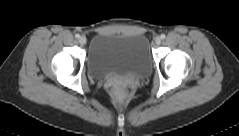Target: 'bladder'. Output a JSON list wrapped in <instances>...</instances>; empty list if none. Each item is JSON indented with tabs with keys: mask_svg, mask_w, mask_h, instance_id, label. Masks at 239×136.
<instances>
[{
	"mask_svg": "<svg viewBox=\"0 0 239 136\" xmlns=\"http://www.w3.org/2000/svg\"><path fill=\"white\" fill-rule=\"evenodd\" d=\"M88 66L96 78L145 75L152 66L149 41L141 34L100 32L92 39Z\"/></svg>",
	"mask_w": 239,
	"mask_h": 136,
	"instance_id": "obj_1",
	"label": "bladder"
}]
</instances>
